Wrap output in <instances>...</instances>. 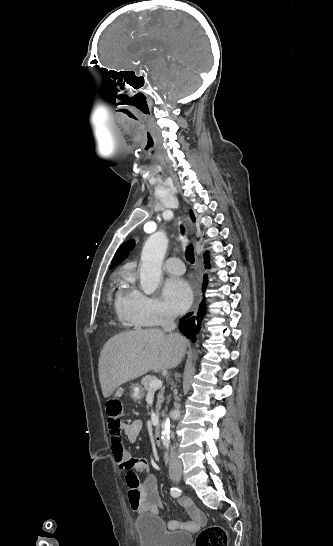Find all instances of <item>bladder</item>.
Listing matches in <instances>:
<instances>
[{
  "mask_svg": "<svg viewBox=\"0 0 333 546\" xmlns=\"http://www.w3.org/2000/svg\"><path fill=\"white\" fill-rule=\"evenodd\" d=\"M140 546H190L192 537L187 532H171L154 515L139 516L134 523Z\"/></svg>",
  "mask_w": 333,
  "mask_h": 546,
  "instance_id": "obj_1",
  "label": "bladder"
}]
</instances>
